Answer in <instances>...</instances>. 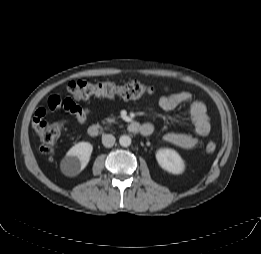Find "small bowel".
Segmentation results:
<instances>
[{"label":"small bowel","instance_id":"c3829d8e","mask_svg":"<svg viewBox=\"0 0 261 254\" xmlns=\"http://www.w3.org/2000/svg\"><path fill=\"white\" fill-rule=\"evenodd\" d=\"M191 99H192V94L190 92L180 91V92L162 96L159 99V105L165 111H172L177 109L181 105L191 101ZM61 101H62L61 104L57 108H52L49 106V104L48 106L51 110L63 108L69 111L76 118L79 124L81 125L86 124L88 116L91 113L89 109L78 106L74 103H67L64 100ZM40 109L43 110L42 114L38 113ZM189 113L194 125L195 135L187 134V133L169 132L163 136L165 142L172 144L176 147H179L181 149L190 150L198 145L199 137H205L209 134L210 122H209L206 105L201 101H193L190 104ZM45 115H46V110L44 108H39L35 112L32 125L36 127V125L43 120ZM144 125L147 126L151 124L145 123Z\"/></svg>","mask_w":261,"mask_h":254}]
</instances>
